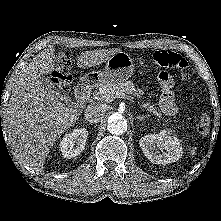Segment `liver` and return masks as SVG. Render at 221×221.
Masks as SVG:
<instances>
[{
  "label": "liver",
  "instance_id": "obj_1",
  "mask_svg": "<svg viewBox=\"0 0 221 221\" xmlns=\"http://www.w3.org/2000/svg\"><path fill=\"white\" fill-rule=\"evenodd\" d=\"M53 46L42 50L22 70L12 90L4 126L14 154L22 163L41 171L55 141L79 118L81 107H67L44 89L41 77L54 70ZM119 49L85 51L79 68L106 62Z\"/></svg>",
  "mask_w": 221,
  "mask_h": 221
}]
</instances>
